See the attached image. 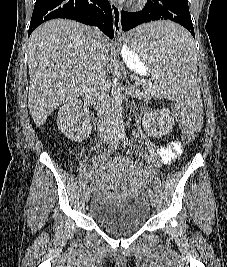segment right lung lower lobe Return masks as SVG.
I'll return each mask as SVG.
<instances>
[{
  "label": "right lung lower lobe",
  "mask_w": 227,
  "mask_h": 267,
  "mask_svg": "<svg viewBox=\"0 0 227 267\" xmlns=\"http://www.w3.org/2000/svg\"><path fill=\"white\" fill-rule=\"evenodd\" d=\"M66 18L97 26L109 38L114 37L112 10L108 0H36L28 36L43 22Z\"/></svg>",
  "instance_id": "1"
}]
</instances>
